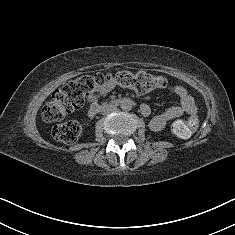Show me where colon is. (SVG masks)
Here are the masks:
<instances>
[{
	"instance_id": "colon-1",
	"label": "colon",
	"mask_w": 235,
	"mask_h": 235,
	"mask_svg": "<svg viewBox=\"0 0 235 235\" xmlns=\"http://www.w3.org/2000/svg\"><path fill=\"white\" fill-rule=\"evenodd\" d=\"M108 84L133 89L140 94L148 93L154 89L164 88L166 79L161 75H152L144 71L136 74L129 71L116 73H97L94 75L80 76L69 81L52 93L51 99L42 109L43 118L46 121L62 119L66 114L79 109L87 98L93 96L96 91H102ZM197 122L195 112L187 125L176 123L173 130L181 137H187ZM80 132V127L74 122H65L56 125L53 130L54 136L65 143L74 142Z\"/></svg>"
}]
</instances>
